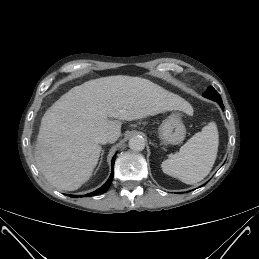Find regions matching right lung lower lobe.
I'll return each mask as SVG.
<instances>
[{
    "label": "right lung lower lobe",
    "mask_w": 259,
    "mask_h": 259,
    "mask_svg": "<svg viewBox=\"0 0 259 259\" xmlns=\"http://www.w3.org/2000/svg\"><path fill=\"white\" fill-rule=\"evenodd\" d=\"M115 157L116 156H113L112 161H111V163H112V173H111L109 179L107 180V182L101 188H99L98 190H96L92 193L86 194L87 197L88 196H95V195H98L100 193H105L108 190V188H109V186L112 182V179H113V166H114Z\"/></svg>",
    "instance_id": "1"
}]
</instances>
